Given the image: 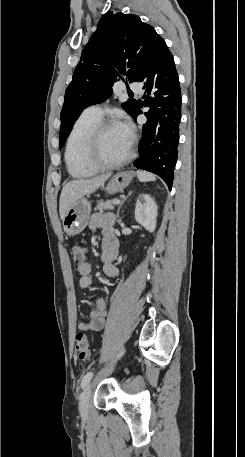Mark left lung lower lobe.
<instances>
[{
    "instance_id": "1",
    "label": "left lung lower lobe",
    "mask_w": 245,
    "mask_h": 457,
    "mask_svg": "<svg viewBox=\"0 0 245 457\" xmlns=\"http://www.w3.org/2000/svg\"><path fill=\"white\" fill-rule=\"evenodd\" d=\"M137 82L144 84L147 122L139 143L140 156L134 166L159 175L172 188L181 121V90L174 58L164 40L149 56ZM136 104L130 114L134 120L142 113Z\"/></svg>"
}]
</instances>
